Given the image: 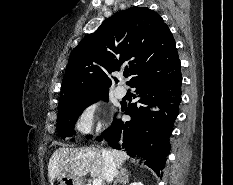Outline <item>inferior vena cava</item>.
<instances>
[{
	"instance_id": "obj_1",
	"label": "inferior vena cava",
	"mask_w": 233,
	"mask_h": 185,
	"mask_svg": "<svg viewBox=\"0 0 233 185\" xmlns=\"http://www.w3.org/2000/svg\"><path fill=\"white\" fill-rule=\"evenodd\" d=\"M103 163H104V179L110 183L117 175L116 163L113 156L106 150L102 149Z\"/></svg>"
}]
</instances>
